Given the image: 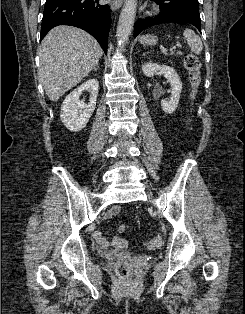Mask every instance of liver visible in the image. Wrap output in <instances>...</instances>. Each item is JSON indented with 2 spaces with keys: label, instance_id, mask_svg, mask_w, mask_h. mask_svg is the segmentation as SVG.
Wrapping results in <instances>:
<instances>
[{
  "label": "liver",
  "instance_id": "liver-1",
  "mask_svg": "<svg viewBox=\"0 0 245 314\" xmlns=\"http://www.w3.org/2000/svg\"><path fill=\"white\" fill-rule=\"evenodd\" d=\"M103 51L96 39L72 26H57L39 47V79L48 98L55 102L79 84L98 64Z\"/></svg>",
  "mask_w": 245,
  "mask_h": 314
}]
</instances>
